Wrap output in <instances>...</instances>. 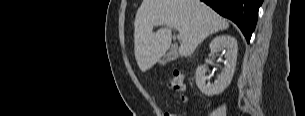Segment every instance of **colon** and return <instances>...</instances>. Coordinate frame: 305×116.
<instances>
[{
  "mask_svg": "<svg viewBox=\"0 0 305 116\" xmlns=\"http://www.w3.org/2000/svg\"><path fill=\"white\" fill-rule=\"evenodd\" d=\"M184 78H185L184 72L181 71V70H177L174 74V77H173L171 83H170V87L174 91L179 93L180 99L182 101H186V96L184 94V91H185ZM163 116H176V115L171 113V112H165V113H163Z\"/></svg>",
  "mask_w": 305,
  "mask_h": 116,
  "instance_id": "colon-1",
  "label": "colon"
}]
</instances>
